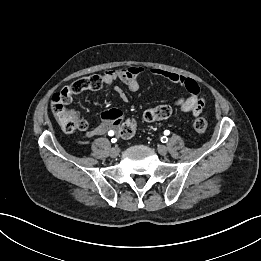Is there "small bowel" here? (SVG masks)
<instances>
[{
    "instance_id": "small-bowel-1",
    "label": "small bowel",
    "mask_w": 261,
    "mask_h": 261,
    "mask_svg": "<svg viewBox=\"0 0 261 261\" xmlns=\"http://www.w3.org/2000/svg\"><path fill=\"white\" fill-rule=\"evenodd\" d=\"M143 72V68L138 65H131L126 68H119L114 70H108L101 75H95L88 77V86L85 89L99 90L103 86L112 85L116 81H120L125 84L132 92H136L140 88L138 77ZM151 73L155 77H162L170 80L176 84L183 86L188 91V96L181 97L174 101V105L184 113H191L193 116H198L204 108V98L199 93L200 89L195 80L185 77L183 75L163 70L152 69ZM115 91L122 98L125 99L124 91L116 86ZM112 111H118L117 109H108L102 113L103 123L97 125L86 133L87 137H96L109 133V131H117L119 124L108 117V114Z\"/></svg>"
}]
</instances>
